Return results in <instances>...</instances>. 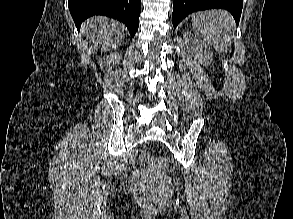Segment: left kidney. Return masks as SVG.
<instances>
[{"mask_svg":"<svg viewBox=\"0 0 293 219\" xmlns=\"http://www.w3.org/2000/svg\"><path fill=\"white\" fill-rule=\"evenodd\" d=\"M183 37L186 40L192 49L195 57L198 58L203 64H209V61L213 58V53L210 51V48L199 41L196 38H193L189 32H184Z\"/></svg>","mask_w":293,"mask_h":219,"instance_id":"5707ae66","label":"left kidney"}]
</instances>
